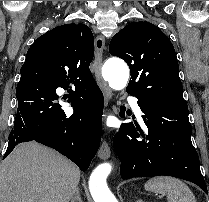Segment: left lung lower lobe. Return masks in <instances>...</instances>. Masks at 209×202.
Wrapping results in <instances>:
<instances>
[{
	"instance_id": "1",
	"label": "left lung lower lobe",
	"mask_w": 209,
	"mask_h": 202,
	"mask_svg": "<svg viewBox=\"0 0 209 202\" xmlns=\"http://www.w3.org/2000/svg\"><path fill=\"white\" fill-rule=\"evenodd\" d=\"M148 132L124 123L114 135L113 147L121 160L123 179L169 175L195 183L208 194L198 154L191 142L188 108L138 99ZM126 108L120 107L124 117Z\"/></svg>"
}]
</instances>
